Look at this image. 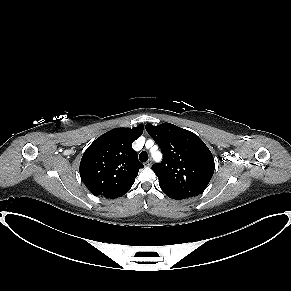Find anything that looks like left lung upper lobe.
<instances>
[{
  "label": "left lung upper lobe",
  "instance_id": "1",
  "mask_svg": "<svg viewBox=\"0 0 291 291\" xmlns=\"http://www.w3.org/2000/svg\"><path fill=\"white\" fill-rule=\"evenodd\" d=\"M146 130L164 155L161 163L152 166L161 189L181 197L201 194L215 169L213 155L205 143L193 132L171 123L147 124Z\"/></svg>",
  "mask_w": 291,
  "mask_h": 291
}]
</instances>
